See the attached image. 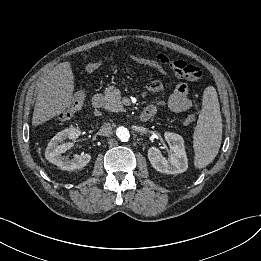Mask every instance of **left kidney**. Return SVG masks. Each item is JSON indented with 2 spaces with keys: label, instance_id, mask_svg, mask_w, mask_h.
<instances>
[{
  "label": "left kidney",
  "instance_id": "left-kidney-1",
  "mask_svg": "<svg viewBox=\"0 0 261 261\" xmlns=\"http://www.w3.org/2000/svg\"><path fill=\"white\" fill-rule=\"evenodd\" d=\"M164 138L170 147L169 160L162 156L158 148L151 147L148 150V159L151 165L161 173L179 174L185 172L188 168V160L183 138L172 132H166Z\"/></svg>",
  "mask_w": 261,
  "mask_h": 261
}]
</instances>
